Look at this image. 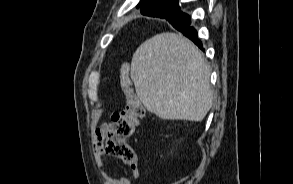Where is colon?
<instances>
[{
	"label": "colon",
	"instance_id": "obj_1",
	"mask_svg": "<svg viewBox=\"0 0 293 184\" xmlns=\"http://www.w3.org/2000/svg\"><path fill=\"white\" fill-rule=\"evenodd\" d=\"M120 83L126 96V104L122 110L113 114L103 140L102 151L108 156L133 164L136 156L127 139L135 132L145 111L131 87L129 65L126 63L120 69Z\"/></svg>",
	"mask_w": 293,
	"mask_h": 184
}]
</instances>
